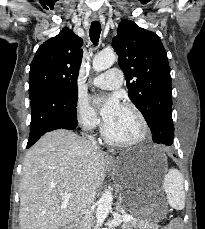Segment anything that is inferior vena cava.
<instances>
[{
    "label": "inferior vena cava",
    "mask_w": 205,
    "mask_h": 229,
    "mask_svg": "<svg viewBox=\"0 0 205 229\" xmlns=\"http://www.w3.org/2000/svg\"><path fill=\"white\" fill-rule=\"evenodd\" d=\"M88 138L92 142V145L96 146V141L94 137L88 136ZM94 199H95L94 190L87 191L86 194L83 196L81 202V214L83 215L82 229H91L92 227V223L94 219L92 205L94 204Z\"/></svg>",
    "instance_id": "inferior-vena-cava-1"
}]
</instances>
